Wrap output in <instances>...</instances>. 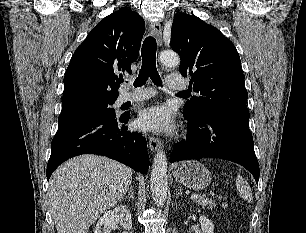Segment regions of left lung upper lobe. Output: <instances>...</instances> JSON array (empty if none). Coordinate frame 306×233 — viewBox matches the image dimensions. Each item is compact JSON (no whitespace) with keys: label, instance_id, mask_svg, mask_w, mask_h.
Segmentation results:
<instances>
[{"label":"left lung upper lobe","instance_id":"5c2ea615","mask_svg":"<svg viewBox=\"0 0 306 233\" xmlns=\"http://www.w3.org/2000/svg\"><path fill=\"white\" fill-rule=\"evenodd\" d=\"M170 46L180 55L179 72L190 76V88L199 94L184 106L187 120L215 110L249 113L239 54L218 29L194 15L176 14Z\"/></svg>","mask_w":306,"mask_h":233}]
</instances>
